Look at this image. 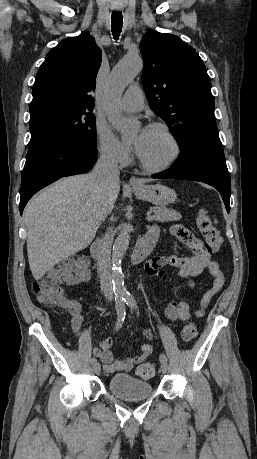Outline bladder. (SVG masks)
Returning <instances> with one entry per match:
<instances>
[{"instance_id": "31cf9c89", "label": "bladder", "mask_w": 257, "mask_h": 459, "mask_svg": "<svg viewBox=\"0 0 257 459\" xmlns=\"http://www.w3.org/2000/svg\"><path fill=\"white\" fill-rule=\"evenodd\" d=\"M108 390L125 401L143 400L153 393L152 386L149 383L124 373H117L110 378Z\"/></svg>"}]
</instances>
